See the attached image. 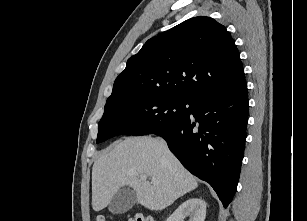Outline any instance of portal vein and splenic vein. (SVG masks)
<instances>
[{
	"instance_id": "1",
	"label": "portal vein and splenic vein",
	"mask_w": 307,
	"mask_h": 221,
	"mask_svg": "<svg viewBox=\"0 0 307 221\" xmlns=\"http://www.w3.org/2000/svg\"><path fill=\"white\" fill-rule=\"evenodd\" d=\"M140 179L146 180L147 179V175H145V174L140 175ZM152 181H154V179H152Z\"/></svg>"
}]
</instances>
